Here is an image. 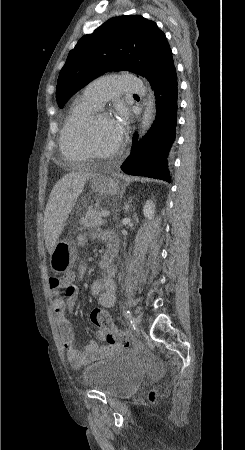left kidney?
<instances>
[{
	"instance_id": "left-kidney-1",
	"label": "left kidney",
	"mask_w": 245,
	"mask_h": 450,
	"mask_svg": "<svg viewBox=\"0 0 245 450\" xmlns=\"http://www.w3.org/2000/svg\"><path fill=\"white\" fill-rule=\"evenodd\" d=\"M154 212L155 204L152 201L148 200L143 207L144 216L151 220L154 217Z\"/></svg>"
}]
</instances>
